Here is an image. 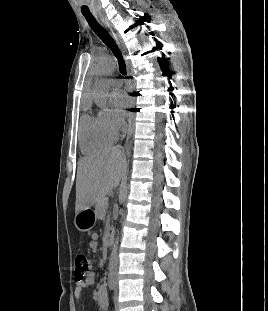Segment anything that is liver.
Segmentation results:
<instances>
[{"instance_id": "liver-1", "label": "liver", "mask_w": 268, "mask_h": 311, "mask_svg": "<svg viewBox=\"0 0 268 311\" xmlns=\"http://www.w3.org/2000/svg\"><path fill=\"white\" fill-rule=\"evenodd\" d=\"M125 157L112 147L93 157L82 158L76 178L75 212L93 205L116 188L121 180Z\"/></svg>"}]
</instances>
